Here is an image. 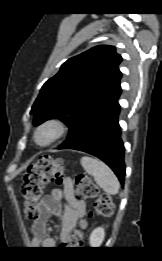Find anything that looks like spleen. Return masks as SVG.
I'll return each mask as SVG.
<instances>
[{
  "label": "spleen",
  "mask_w": 162,
  "mask_h": 261,
  "mask_svg": "<svg viewBox=\"0 0 162 261\" xmlns=\"http://www.w3.org/2000/svg\"><path fill=\"white\" fill-rule=\"evenodd\" d=\"M84 170L93 176L96 183L108 194L119 192L120 184L113 171L102 161L89 156L81 158Z\"/></svg>",
  "instance_id": "3e777b00"
}]
</instances>
